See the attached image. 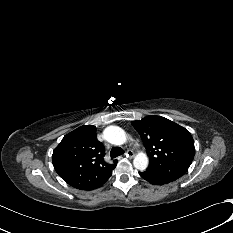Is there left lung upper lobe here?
I'll return each mask as SVG.
<instances>
[{
	"label": "left lung upper lobe",
	"instance_id": "1",
	"mask_svg": "<svg viewBox=\"0 0 233 233\" xmlns=\"http://www.w3.org/2000/svg\"><path fill=\"white\" fill-rule=\"evenodd\" d=\"M149 156L146 171L172 182L188 170L195 154L194 141L184 127L161 116L132 122Z\"/></svg>",
	"mask_w": 233,
	"mask_h": 233
}]
</instances>
